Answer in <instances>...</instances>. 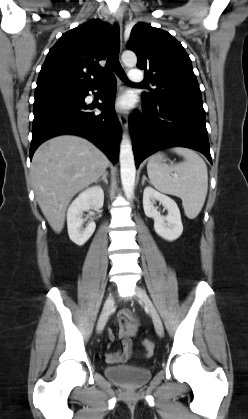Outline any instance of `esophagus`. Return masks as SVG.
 I'll list each match as a JSON object with an SVG mask.
<instances>
[{"label": "esophagus", "mask_w": 248, "mask_h": 419, "mask_svg": "<svg viewBox=\"0 0 248 419\" xmlns=\"http://www.w3.org/2000/svg\"><path fill=\"white\" fill-rule=\"evenodd\" d=\"M113 16H114L116 22L119 25V28H120V38L122 39L123 12L120 9H118V10H116L114 12ZM117 115H118L119 121L122 124V126L126 128L127 125H128V118H127L126 114L124 112H122L121 110L118 109L117 110Z\"/></svg>", "instance_id": "1"}]
</instances>
